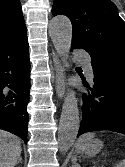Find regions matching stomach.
<instances>
[{
    "label": "stomach",
    "instance_id": "0dacf381",
    "mask_svg": "<svg viewBox=\"0 0 125 167\" xmlns=\"http://www.w3.org/2000/svg\"><path fill=\"white\" fill-rule=\"evenodd\" d=\"M103 143L97 139H91L84 149V153L88 156H94L101 151Z\"/></svg>",
    "mask_w": 125,
    "mask_h": 167
}]
</instances>
